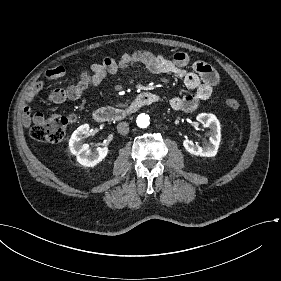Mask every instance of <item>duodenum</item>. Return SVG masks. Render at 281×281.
<instances>
[{
  "label": "duodenum",
  "mask_w": 281,
  "mask_h": 281,
  "mask_svg": "<svg viewBox=\"0 0 281 281\" xmlns=\"http://www.w3.org/2000/svg\"><path fill=\"white\" fill-rule=\"evenodd\" d=\"M151 100L150 93L137 96L127 108H100L93 113V119L97 122H119L133 112L137 111Z\"/></svg>",
  "instance_id": "obj_1"
}]
</instances>
